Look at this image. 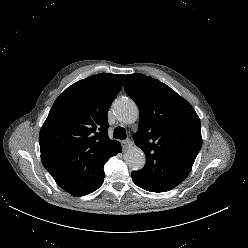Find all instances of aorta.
Wrapping results in <instances>:
<instances>
[{"mask_svg":"<svg viewBox=\"0 0 248 248\" xmlns=\"http://www.w3.org/2000/svg\"><path fill=\"white\" fill-rule=\"evenodd\" d=\"M114 110L117 119L124 124H132L139 117L137 105L127 97L118 99L115 102ZM124 161L130 169L140 170L145 165V155L139 147L133 146L124 154Z\"/></svg>","mask_w":248,"mask_h":248,"instance_id":"1","label":"aorta"}]
</instances>
